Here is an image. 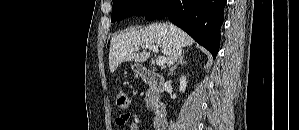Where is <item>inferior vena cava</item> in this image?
<instances>
[{
    "instance_id": "602c4592",
    "label": "inferior vena cava",
    "mask_w": 299,
    "mask_h": 130,
    "mask_svg": "<svg viewBox=\"0 0 299 130\" xmlns=\"http://www.w3.org/2000/svg\"><path fill=\"white\" fill-rule=\"evenodd\" d=\"M169 28H170L172 34L174 35L175 34L174 26L169 25ZM181 54H182V48L177 42H175L174 45H173L172 53H171L170 57L167 60V64L169 66L172 65L175 61H177V59L179 57H181Z\"/></svg>"
}]
</instances>
